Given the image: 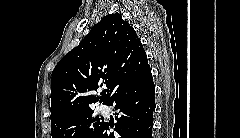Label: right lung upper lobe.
I'll use <instances>...</instances> for the list:
<instances>
[{
    "label": "right lung upper lobe",
    "instance_id": "cb5924a9",
    "mask_svg": "<svg viewBox=\"0 0 240 138\" xmlns=\"http://www.w3.org/2000/svg\"><path fill=\"white\" fill-rule=\"evenodd\" d=\"M149 74L145 50L133 27L120 14L106 15L53 70L51 124L76 116L98 100L109 105ZM103 85L109 93L91 94Z\"/></svg>",
    "mask_w": 240,
    "mask_h": 138
}]
</instances>
